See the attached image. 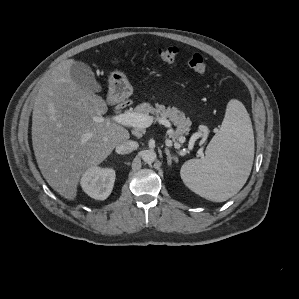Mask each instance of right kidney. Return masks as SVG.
<instances>
[{
  "label": "right kidney",
  "mask_w": 299,
  "mask_h": 299,
  "mask_svg": "<svg viewBox=\"0 0 299 299\" xmlns=\"http://www.w3.org/2000/svg\"><path fill=\"white\" fill-rule=\"evenodd\" d=\"M114 182L115 171L98 166L88 168L81 178L84 192L97 200H104L111 194Z\"/></svg>",
  "instance_id": "obj_1"
}]
</instances>
